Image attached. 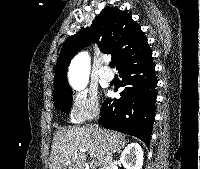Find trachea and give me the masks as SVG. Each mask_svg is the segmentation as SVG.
<instances>
[{
	"instance_id": "1",
	"label": "trachea",
	"mask_w": 200,
	"mask_h": 169,
	"mask_svg": "<svg viewBox=\"0 0 200 169\" xmlns=\"http://www.w3.org/2000/svg\"><path fill=\"white\" fill-rule=\"evenodd\" d=\"M115 66H116V62L115 61L110 62V67L111 68H114Z\"/></svg>"
}]
</instances>
